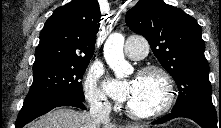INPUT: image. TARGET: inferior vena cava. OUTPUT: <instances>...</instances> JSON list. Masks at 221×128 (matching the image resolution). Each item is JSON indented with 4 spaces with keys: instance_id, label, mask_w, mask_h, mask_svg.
Masks as SVG:
<instances>
[{
    "instance_id": "602c4592",
    "label": "inferior vena cava",
    "mask_w": 221,
    "mask_h": 128,
    "mask_svg": "<svg viewBox=\"0 0 221 128\" xmlns=\"http://www.w3.org/2000/svg\"><path fill=\"white\" fill-rule=\"evenodd\" d=\"M111 107L106 104H100L96 101L90 103L89 114L91 118L98 123L109 121Z\"/></svg>"
}]
</instances>
